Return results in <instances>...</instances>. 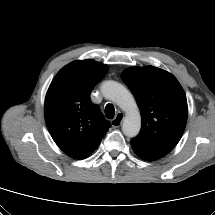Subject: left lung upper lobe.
I'll use <instances>...</instances> for the list:
<instances>
[{"instance_id": "left-lung-upper-lobe-1", "label": "left lung upper lobe", "mask_w": 215, "mask_h": 215, "mask_svg": "<svg viewBox=\"0 0 215 215\" xmlns=\"http://www.w3.org/2000/svg\"><path fill=\"white\" fill-rule=\"evenodd\" d=\"M140 109L142 126L131 146L159 159L168 154L184 132L188 107L184 90L169 72L153 66L131 67L122 75Z\"/></svg>"}]
</instances>
